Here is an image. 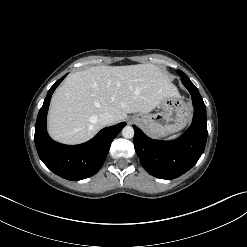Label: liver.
I'll return each mask as SVG.
<instances>
[{
	"label": "liver",
	"instance_id": "liver-1",
	"mask_svg": "<svg viewBox=\"0 0 247 247\" xmlns=\"http://www.w3.org/2000/svg\"><path fill=\"white\" fill-rule=\"evenodd\" d=\"M177 88L156 65L95 66L69 75L51 99L48 131L53 139L79 144L103 127L99 115L109 112L114 123L128 113H149Z\"/></svg>",
	"mask_w": 247,
	"mask_h": 247
}]
</instances>
